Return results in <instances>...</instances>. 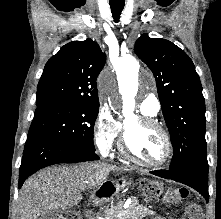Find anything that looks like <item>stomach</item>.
I'll list each match as a JSON object with an SVG mask.
<instances>
[{
    "label": "stomach",
    "instance_id": "1",
    "mask_svg": "<svg viewBox=\"0 0 221 219\" xmlns=\"http://www.w3.org/2000/svg\"><path fill=\"white\" fill-rule=\"evenodd\" d=\"M161 178H146L139 189L147 199V204H162V201L170 195V190H164V183Z\"/></svg>",
    "mask_w": 221,
    "mask_h": 219
}]
</instances>
